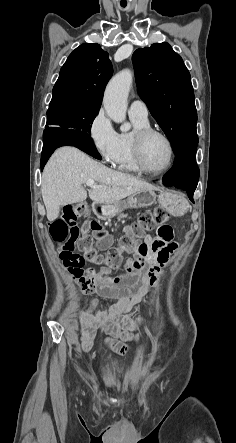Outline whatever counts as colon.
I'll list each match as a JSON object with an SVG mask.
<instances>
[{"mask_svg": "<svg viewBox=\"0 0 236 443\" xmlns=\"http://www.w3.org/2000/svg\"><path fill=\"white\" fill-rule=\"evenodd\" d=\"M86 208L82 204H73L66 208L61 218L49 223V233L52 240L62 245L59 253L60 259L76 269H87L85 263L104 264L109 269L117 268L122 260V253L134 247L137 240L147 232L157 228V233L166 241H169V250H174L175 245L171 242L173 230L168 224L169 213L161 207L143 213L126 230L120 240V246L110 249L103 254L97 251L93 245L92 233L97 238L109 240L108 233L97 221L86 222L82 228L77 225V219L83 216ZM149 256V250L145 246L139 247L129 266L126 276L133 278L135 272L143 266V261Z\"/></svg>", "mask_w": 236, "mask_h": 443, "instance_id": "1", "label": "colon"}]
</instances>
